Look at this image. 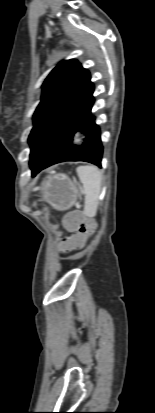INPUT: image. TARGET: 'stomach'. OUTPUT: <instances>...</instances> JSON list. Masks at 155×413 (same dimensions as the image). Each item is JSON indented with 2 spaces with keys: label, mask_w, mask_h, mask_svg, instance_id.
I'll return each mask as SVG.
<instances>
[{
  "label": "stomach",
  "mask_w": 155,
  "mask_h": 413,
  "mask_svg": "<svg viewBox=\"0 0 155 413\" xmlns=\"http://www.w3.org/2000/svg\"><path fill=\"white\" fill-rule=\"evenodd\" d=\"M41 190L44 199L58 210L72 207L80 194L79 188L64 174L49 176Z\"/></svg>",
  "instance_id": "obj_1"
}]
</instances>
